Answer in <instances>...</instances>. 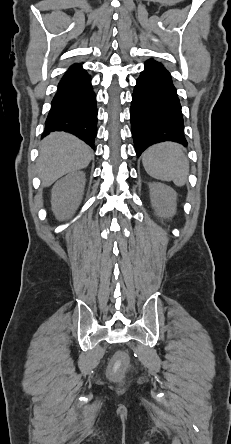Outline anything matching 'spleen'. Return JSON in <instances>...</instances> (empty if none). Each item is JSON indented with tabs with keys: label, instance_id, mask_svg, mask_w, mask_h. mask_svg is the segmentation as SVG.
I'll return each mask as SVG.
<instances>
[{
	"label": "spleen",
	"instance_id": "3e777b00",
	"mask_svg": "<svg viewBox=\"0 0 231 444\" xmlns=\"http://www.w3.org/2000/svg\"><path fill=\"white\" fill-rule=\"evenodd\" d=\"M142 163L146 172L162 181H173L177 186L187 182L189 162L181 146L175 142H162L145 150Z\"/></svg>",
	"mask_w": 231,
	"mask_h": 444
}]
</instances>
